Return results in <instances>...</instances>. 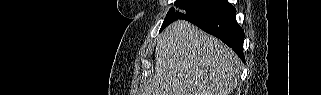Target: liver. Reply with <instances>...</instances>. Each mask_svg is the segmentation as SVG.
Wrapping results in <instances>:
<instances>
[{"label": "liver", "mask_w": 321, "mask_h": 95, "mask_svg": "<svg viewBox=\"0 0 321 95\" xmlns=\"http://www.w3.org/2000/svg\"><path fill=\"white\" fill-rule=\"evenodd\" d=\"M240 63L219 39L178 20L158 40L155 75L141 95H231Z\"/></svg>", "instance_id": "6515ba94"}]
</instances>
